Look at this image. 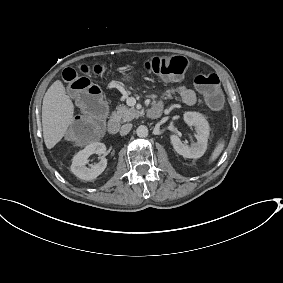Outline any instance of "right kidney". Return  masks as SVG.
Listing matches in <instances>:
<instances>
[{
    "label": "right kidney",
    "instance_id": "1",
    "mask_svg": "<svg viewBox=\"0 0 283 283\" xmlns=\"http://www.w3.org/2000/svg\"><path fill=\"white\" fill-rule=\"evenodd\" d=\"M105 151V145L100 142H94L79 150L72 158L70 171L80 179L91 181L96 179L105 170L107 160L102 158L98 163L93 164L91 168L85 166L92 154H102Z\"/></svg>",
    "mask_w": 283,
    "mask_h": 283
}]
</instances>
